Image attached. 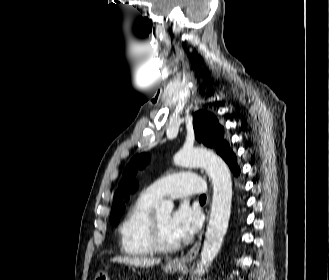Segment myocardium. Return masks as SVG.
I'll return each instance as SVG.
<instances>
[{
	"label": "myocardium",
	"mask_w": 329,
	"mask_h": 280,
	"mask_svg": "<svg viewBox=\"0 0 329 280\" xmlns=\"http://www.w3.org/2000/svg\"><path fill=\"white\" fill-rule=\"evenodd\" d=\"M148 236L150 243L155 251L172 252L179 248V243H167L160 234L156 213L152 212L148 222Z\"/></svg>",
	"instance_id": "f54148a6"
}]
</instances>
